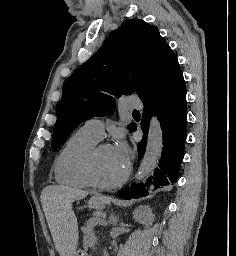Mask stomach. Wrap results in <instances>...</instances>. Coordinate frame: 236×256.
Wrapping results in <instances>:
<instances>
[{"mask_svg": "<svg viewBox=\"0 0 236 256\" xmlns=\"http://www.w3.org/2000/svg\"><path fill=\"white\" fill-rule=\"evenodd\" d=\"M88 204H89L90 208H93L96 210H102L105 208L106 201L101 198H92V199H90ZM74 256H87V253H86V251L78 250Z\"/></svg>", "mask_w": 236, "mask_h": 256, "instance_id": "0dacf381", "label": "stomach"}]
</instances>
